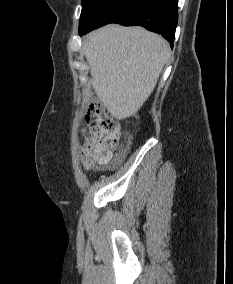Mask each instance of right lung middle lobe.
Returning a JSON list of instances; mask_svg holds the SVG:
<instances>
[{"label": "right lung middle lobe", "mask_w": 233, "mask_h": 284, "mask_svg": "<svg viewBox=\"0 0 233 284\" xmlns=\"http://www.w3.org/2000/svg\"><path fill=\"white\" fill-rule=\"evenodd\" d=\"M109 1L110 0H82L79 30L86 27Z\"/></svg>", "instance_id": "obj_1"}]
</instances>
